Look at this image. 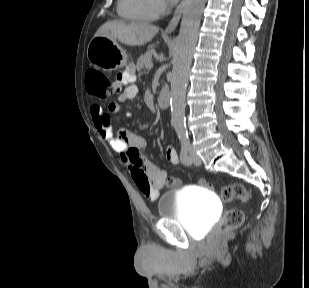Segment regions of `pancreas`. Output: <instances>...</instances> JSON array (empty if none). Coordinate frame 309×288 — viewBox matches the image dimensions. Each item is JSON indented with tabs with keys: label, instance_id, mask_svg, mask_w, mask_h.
<instances>
[{
	"label": "pancreas",
	"instance_id": "1",
	"mask_svg": "<svg viewBox=\"0 0 309 288\" xmlns=\"http://www.w3.org/2000/svg\"><path fill=\"white\" fill-rule=\"evenodd\" d=\"M154 52V49H150L139 57V59L137 60L138 71H141L143 68H147L148 64L152 62V55Z\"/></svg>",
	"mask_w": 309,
	"mask_h": 288
}]
</instances>
